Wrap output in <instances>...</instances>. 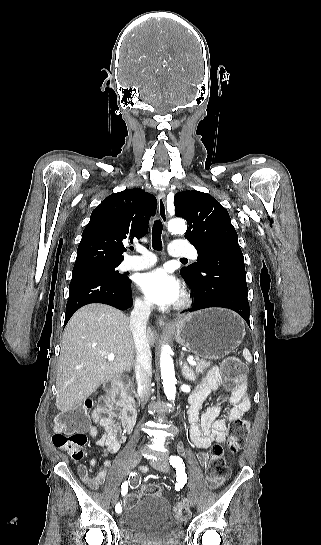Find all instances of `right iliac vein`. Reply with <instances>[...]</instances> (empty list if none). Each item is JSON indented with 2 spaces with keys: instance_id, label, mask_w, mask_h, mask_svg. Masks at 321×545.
<instances>
[{
  "instance_id": "63e3f726",
  "label": "right iliac vein",
  "mask_w": 321,
  "mask_h": 545,
  "mask_svg": "<svg viewBox=\"0 0 321 545\" xmlns=\"http://www.w3.org/2000/svg\"><path fill=\"white\" fill-rule=\"evenodd\" d=\"M141 457L142 455L140 451L133 452L129 458L128 468L132 469L136 467L139 464ZM117 500H118V492H115L113 494L112 501H111L112 505L116 504Z\"/></svg>"
}]
</instances>
